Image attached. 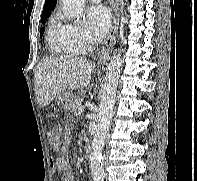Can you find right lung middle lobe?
<instances>
[{"label": "right lung middle lobe", "mask_w": 197, "mask_h": 181, "mask_svg": "<svg viewBox=\"0 0 197 181\" xmlns=\"http://www.w3.org/2000/svg\"><path fill=\"white\" fill-rule=\"evenodd\" d=\"M49 16H50V14L41 16V23H42V24H45L46 21H47V18H48ZM44 30H45V28H41V30H40V37H42V35H43V33H44Z\"/></svg>", "instance_id": "dd1d6c3e"}]
</instances>
